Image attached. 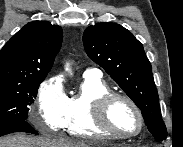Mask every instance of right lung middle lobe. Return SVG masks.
I'll use <instances>...</instances> for the list:
<instances>
[{"label": "right lung middle lobe", "mask_w": 183, "mask_h": 147, "mask_svg": "<svg viewBox=\"0 0 183 147\" xmlns=\"http://www.w3.org/2000/svg\"><path fill=\"white\" fill-rule=\"evenodd\" d=\"M44 79L0 84V124L27 120L29 106L34 102L39 85Z\"/></svg>", "instance_id": "obj_1"}]
</instances>
